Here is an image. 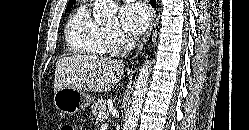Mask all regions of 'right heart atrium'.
<instances>
[{
    "mask_svg": "<svg viewBox=\"0 0 249 130\" xmlns=\"http://www.w3.org/2000/svg\"><path fill=\"white\" fill-rule=\"evenodd\" d=\"M105 33L108 51L110 53H119L128 48L131 43L130 39L117 28H107Z\"/></svg>",
    "mask_w": 249,
    "mask_h": 130,
    "instance_id": "1",
    "label": "right heart atrium"
}]
</instances>
